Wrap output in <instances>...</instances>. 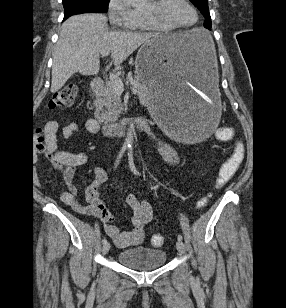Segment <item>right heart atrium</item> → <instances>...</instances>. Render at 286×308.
<instances>
[{
    "instance_id": "right-heart-atrium-1",
    "label": "right heart atrium",
    "mask_w": 286,
    "mask_h": 308,
    "mask_svg": "<svg viewBox=\"0 0 286 308\" xmlns=\"http://www.w3.org/2000/svg\"><path fill=\"white\" fill-rule=\"evenodd\" d=\"M107 14L113 27L131 29L136 21L137 10L127 0H108Z\"/></svg>"
}]
</instances>
